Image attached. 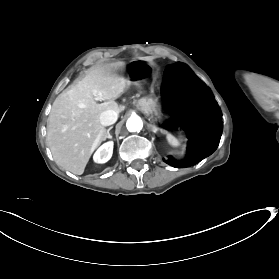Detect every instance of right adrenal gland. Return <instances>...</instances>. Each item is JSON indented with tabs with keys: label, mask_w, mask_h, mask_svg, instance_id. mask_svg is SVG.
Here are the masks:
<instances>
[{
	"label": "right adrenal gland",
	"mask_w": 279,
	"mask_h": 279,
	"mask_svg": "<svg viewBox=\"0 0 279 279\" xmlns=\"http://www.w3.org/2000/svg\"><path fill=\"white\" fill-rule=\"evenodd\" d=\"M112 129V127H109L107 130V138L112 139V136L110 135V130Z\"/></svg>",
	"instance_id": "obj_1"
}]
</instances>
